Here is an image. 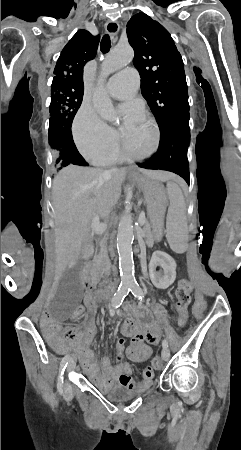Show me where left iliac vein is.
<instances>
[{"mask_svg":"<svg viewBox=\"0 0 241 450\" xmlns=\"http://www.w3.org/2000/svg\"><path fill=\"white\" fill-rule=\"evenodd\" d=\"M161 354H162V359L165 360V361L168 360L169 357H170V351H169V349L167 347L163 348Z\"/></svg>","mask_w":241,"mask_h":450,"instance_id":"1","label":"left iliac vein"}]
</instances>
